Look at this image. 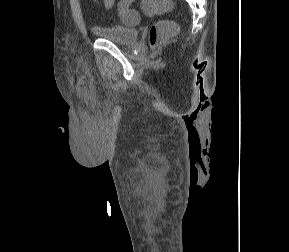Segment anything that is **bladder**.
Here are the masks:
<instances>
[{
  "mask_svg": "<svg viewBox=\"0 0 289 252\" xmlns=\"http://www.w3.org/2000/svg\"><path fill=\"white\" fill-rule=\"evenodd\" d=\"M92 31L100 38L117 44L130 45L138 39V30L133 27L121 25L94 26Z\"/></svg>",
  "mask_w": 289,
  "mask_h": 252,
  "instance_id": "31cf9c89",
  "label": "bladder"
}]
</instances>
